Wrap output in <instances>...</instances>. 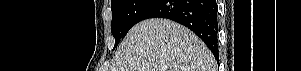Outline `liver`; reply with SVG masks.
I'll return each mask as SVG.
<instances>
[{
	"label": "liver",
	"mask_w": 301,
	"mask_h": 71,
	"mask_svg": "<svg viewBox=\"0 0 301 71\" xmlns=\"http://www.w3.org/2000/svg\"><path fill=\"white\" fill-rule=\"evenodd\" d=\"M110 71H216L207 46L189 29L154 18L128 32Z\"/></svg>",
	"instance_id": "liver-1"
}]
</instances>
